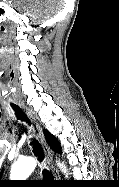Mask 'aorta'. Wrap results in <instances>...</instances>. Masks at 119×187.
<instances>
[{
  "instance_id": "762f6f07",
  "label": "aorta",
  "mask_w": 119,
  "mask_h": 187,
  "mask_svg": "<svg viewBox=\"0 0 119 187\" xmlns=\"http://www.w3.org/2000/svg\"><path fill=\"white\" fill-rule=\"evenodd\" d=\"M59 167L62 168L64 173H66V168L60 162L58 163ZM36 167V161L34 158L26 157L19 159L11 167L10 179L11 180H26L29 175L34 171Z\"/></svg>"
}]
</instances>
